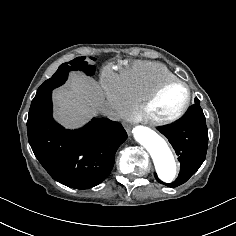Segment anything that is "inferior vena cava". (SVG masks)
<instances>
[{"label":"inferior vena cava","mask_w":236,"mask_h":236,"mask_svg":"<svg viewBox=\"0 0 236 236\" xmlns=\"http://www.w3.org/2000/svg\"><path fill=\"white\" fill-rule=\"evenodd\" d=\"M96 112H100L103 116H107L110 119H114V112L112 111V109L106 107V106H99L96 108Z\"/></svg>","instance_id":"obj_1"}]
</instances>
